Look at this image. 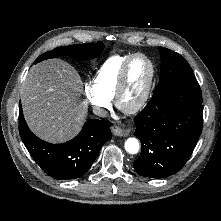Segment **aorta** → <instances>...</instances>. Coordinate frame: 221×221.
<instances>
[{
    "label": "aorta",
    "mask_w": 221,
    "mask_h": 221,
    "mask_svg": "<svg viewBox=\"0 0 221 221\" xmlns=\"http://www.w3.org/2000/svg\"><path fill=\"white\" fill-rule=\"evenodd\" d=\"M139 147V142L136 138H128L125 142V150L130 154L138 153Z\"/></svg>",
    "instance_id": "1"
}]
</instances>
